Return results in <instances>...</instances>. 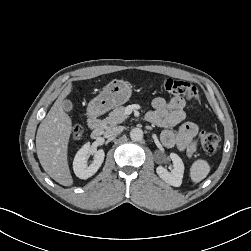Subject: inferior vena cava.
<instances>
[{"mask_svg":"<svg viewBox=\"0 0 251 251\" xmlns=\"http://www.w3.org/2000/svg\"><path fill=\"white\" fill-rule=\"evenodd\" d=\"M122 131H123V127L121 126L113 127L105 131L104 137L111 138V137L119 135Z\"/></svg>","mask_w":251,"mask_h":251,"instance_id":"inferior-vena-cava-1","label":"inferior vena cava"}]
</instances>
